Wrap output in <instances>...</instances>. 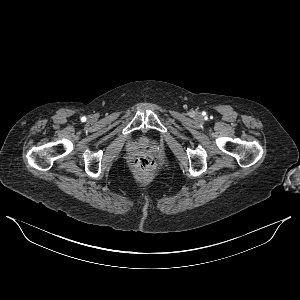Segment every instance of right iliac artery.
<instances>
[{
    "mask_svg": "<svg viewBox=\"0 0 300 300\" xmlns=\"http://www.w3.org/2000/svg\"><path fill=\"white\" fill-rule=\"evenodd\" d=\"M81 120H82V121H85V120H86V117H82Z\"/></svg>",
    "mask_w": 300,
    "mask_h": 300,
    "instance_id": "1",
    "label": "right iliac artery"
}]
</instances>
